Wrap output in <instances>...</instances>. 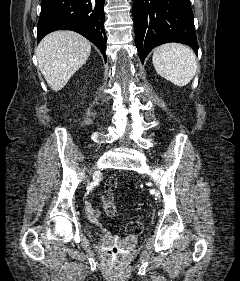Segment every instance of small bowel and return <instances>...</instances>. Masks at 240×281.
Instances as JSON below:
<instances>
[{
    "mask_svg": "<svg viewBox=\"0 0 240 281\" xmlns=\"http://www.w3.org/2000/svg\"><path fill=\"white\" fill-rule=\"evenodd\" d=\"M85 212L88 218L92 221H95L100 214L99 209L94 208L90 203H86Z\"/></svg>",
    "mask_w": 240,
    "mask_h": 281,
    "instance_id": "small-bowel-1",
    "label": "small bowel"
}]
</instances>
